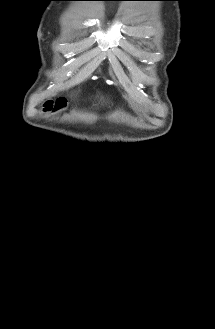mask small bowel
Wrapping results in <instances>:
<instances>
[{"mask_svg": "<svg viewBox=\"0 0 215 329\" xmlns=\"http://www.w3.org/2000/svg\"><path fill=\"white\" fill-rule=\"evenodd\" d=\"M62 104V107L64 106L65 102L64 103H61Z\"/></svg>", "mask_w": 215, "mask_h": 329, "instance_id": "c3829d8e", "label": "small bowel"}]
</instances>
